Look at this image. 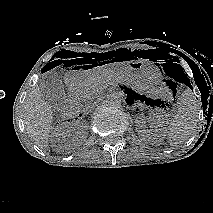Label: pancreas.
<instances>
[{
	"label": "pancreas",
	"mask_w": 213,
	"mask_h": 213,
	"mask_svg": "<svg viewBox=\"0 0 213 213\" xmlns=\"http://www.w3.org/2000/svg\"><path fill=\"white\" fill-rule=\"evenodd\" d=\"M99 81H102V78ZM79 93L83 101L92 100L96 95L95 84L88 83Z\"/></svg>",
	"instance_id": "cf45deb5"
}]
</instances>
